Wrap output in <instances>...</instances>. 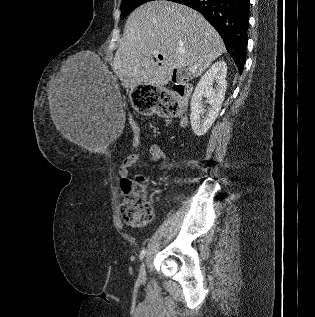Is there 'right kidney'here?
I'll return each instance as SVG.
<instances>
[{
	"mask_svg": "<svg viewBox=\"0 0 315 317\" xmlns=\"http://www.w3.org/2000/svg\"><path fill=\"white\" fill-rule=\"evenodd\" d=\"M226 76V63L217 61L201 77L195 88L191 99L190 121L192 130L197 136L206 134L219 114L227 88ZM214 83H216L215 88H213ZM202 97L207 98V103L210 105L205 116H203L205 110Z\"/></svg>",
	"mask_w": 315,
	"mask_h": 317,
	"instance_id": "1",
	"label": "right kidney"
}]
</instances>
